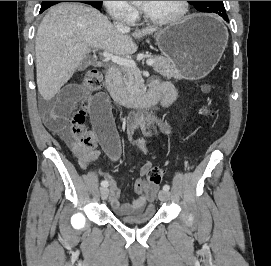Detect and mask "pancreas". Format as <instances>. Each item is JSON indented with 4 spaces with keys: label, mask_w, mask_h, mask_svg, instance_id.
<instances>
[{
    "label": "pancreas",
    "mask_w": 271,
    "mask_h": 266,
    "mask_svg": "<svg viewBox=\"0 0 271 266\" xmlns=\"http://www.w3.org/2000/svg\"><path fill=\"white\" fill-rule=\"evenodd\" d=\"M154 61L153 69L155 72L166 78L177 77L178 71L174 62L168 58L154 55L149 58ZM123 72V86L128 93L133 95H140L144 92V80L141 72L137 67H122Z\"/></svg>",
    "instance_id": "obj_1"
}]
</instances>
